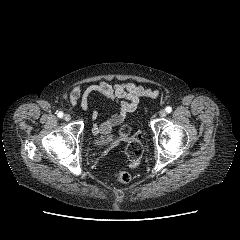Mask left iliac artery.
<instances>
[{
    "instance_id": "obj_1",
    "label": "left iliac artery",
    "mask_w": 240,
    "mask_h": 240,
    "mask_svg": "<svg viewBox=\"0 0 240 240\" xmlns=\"http://www.w3.org/2000/svg\"><path fill=\"white\" fill-rule=\"evenodd\" d=\"M165 111H166L167 113H171V112H172V108H171L170 106H167V107L165 108Z\"/></svg>"
}]
</instances>
